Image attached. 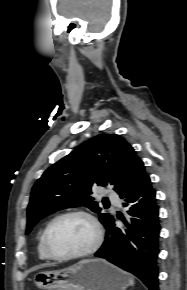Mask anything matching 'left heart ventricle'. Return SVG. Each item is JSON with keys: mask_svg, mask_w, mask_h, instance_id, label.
<instances>
[{"mask_svg": "<svg viewBox=\"0 0 187 290\" xmlns=\"http://www.w3.org/2000/svg\"><path fill=\"white\" fill-rule=\"evenodd\" d=\"M93 240L92 226L80 216H70L58 221L50 234L51 247L60 255L82 252L91 246Z\"/></svg>", "mask_w": 187, "mask_h": 290, "instance_id": "b2bd125f", "label": "left heart ventricle"}]
</instances>
